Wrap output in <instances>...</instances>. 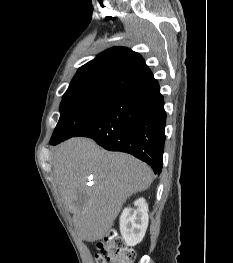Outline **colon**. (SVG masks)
Returning <instances> with one entry per match:
<instances>
[{
    "label": "colon",
    "instance_id": "obj_1",
    "mask_svg": "<svg viewBox=\"0 0 233 263\" xmlns=\"http://www.w3.org/2000/svg\"><path fill=\"white\" fill-rule=\"evenodd\" d=\"M97 263H135V251L114 231L96 245Z\"/></svg>",
    "mask_w": 233,
    "mask_h": 263
}]
</instances>
